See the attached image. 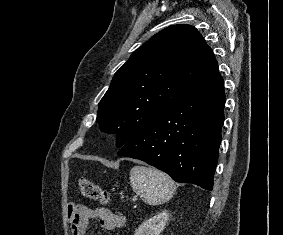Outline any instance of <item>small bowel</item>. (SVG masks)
Masks as SVG:
<instances>
[{"label": "small bowel", "instance_id": "small-bowel-1", "mask_svg": "<svg viewBox=\"0 0 283 235\" xmlns=\"http://www.w3.org/2000/svg\"><path fill=\"white\" fill-rule=\"evenodd\" d=\"M67 218L70 223L71 235H85L89 222L97 219L104 230L113 231L125 223L123 215L114 214L104 209H90L84 205L69 204Z\"/></svg>", "mask_w": 283, "mask_h": 235}]
</instances>
